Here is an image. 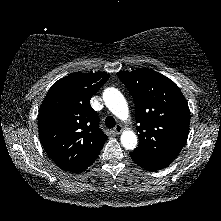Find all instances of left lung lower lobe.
Returning <instances> with one entry per match:
<instances>
[{"label":"left lung lower lobe","instance_id":"0a47b994","mask_svg":"<svg viewBox=\"0 0 221 221\" xmlns=\"http://www.w3.org/2000/svg\"><path fill=\"white\" fill-rule=\"evenodd\" d=\"M132 160L138 164L140 167L151 170V171H156L163 169L167 167L171 162L169 161H160V160H150L147 158H143L137 155H134L133 153L130 154Z\"/></svg>","mask_w":221,"mask_h":221}]
</instances>
